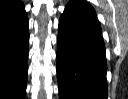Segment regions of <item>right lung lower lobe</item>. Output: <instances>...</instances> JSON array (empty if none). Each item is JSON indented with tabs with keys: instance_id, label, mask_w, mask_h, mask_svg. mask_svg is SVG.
Instances as JSON below:
<instances>
[{
	"instance_id": "right-lung-lower-lobe-1",
	"label": "right lung lower lobe",
	"mask_w": 128,
	"mask_h": 99,
	"mask_svg": "<svg viewBox=\"0 0 128 99\" xmlns=\"http://www.w3.org/2000/svg\"><path fill=\"white\" fill-rule=\"evenodd\" d=\"M28 17L24 4L0 18V99H25Z\"/></svg>"
}]
</instances>
